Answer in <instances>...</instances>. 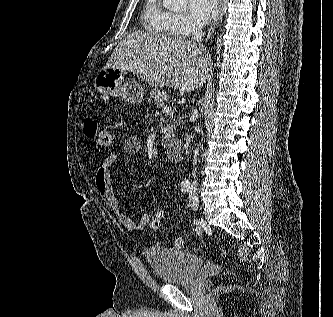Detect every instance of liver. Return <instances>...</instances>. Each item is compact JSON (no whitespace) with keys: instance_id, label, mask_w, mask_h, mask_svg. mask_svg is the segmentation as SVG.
Segmentation results:
<instances>
[{"instance_id":"6515ba94","label":"liver","mask_w":333,"mask_h":317,"mask_svg":"<svg viewBox=\"0 0 333 317\" xmlns=\"http://www.w3.org/2000/svg\"><path fill=\"white\" fill-rule=\"evenodd\" d=\"M106 68L129 71L151 86L191 92L210 77L211 59L183 37L134 31L118 43Z\"/></svg>"}]
</instances>
